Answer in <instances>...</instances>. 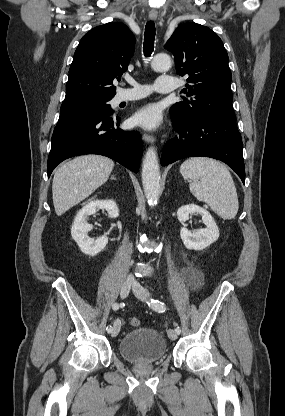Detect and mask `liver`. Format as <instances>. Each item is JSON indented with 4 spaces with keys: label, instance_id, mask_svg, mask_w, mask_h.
Returning <instances> with one entry per match:
<instances>
[{
    "label": "liver",
    "instance_id": "liver-1",
    "mask_svg": "<svg viewBox=\"0 0 285 416\" xmlns=\"http://www.w3.org/2000/svg\"><path fill=\"white\" fill-rule=\"evenodd\" d=\"M113 168L114 162L104 156H79L58 168L52 184L57 216H62L103 186Z\"/></svg>",
    "mask_w": 285,
    "mask_h": 416
}]
</instances>
